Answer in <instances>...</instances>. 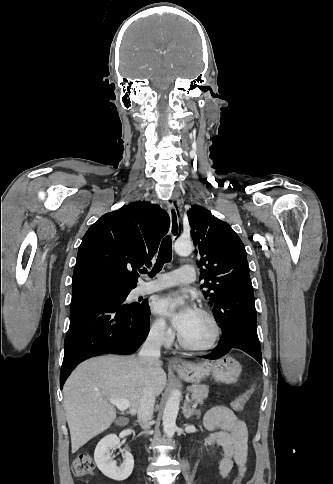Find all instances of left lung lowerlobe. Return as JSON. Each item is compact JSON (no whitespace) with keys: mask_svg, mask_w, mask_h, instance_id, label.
<instances>
[{"mask_svg":"<svg viewBox=\"0 0 333 484\" xmlns=\"http://www.w3.org/2000/svg\"><path fill=\"white\" fill-rule=\"evenodd\" d=\"M233 301L236 304H233ZM213 314L221 324L223 336L217 347L203 358L218 359L231 349L237 348L251 355L262 365L255 301L249 274L231 278L223 284Z\"/></svg>","mask_w":333,"mask_h":484,"instance_id":"obj_1","label":"left lung lower lobe"}]
</instances>
